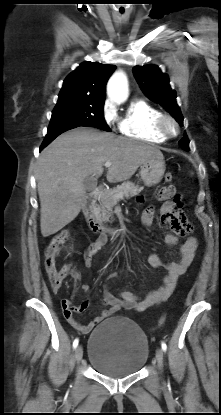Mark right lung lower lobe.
Segmentation results:
<instances>
[{"instance_id":"98d812e1","label":"right lung lower lobe","mask_w":221,"mask_h":415,"mask_svg":"<svg viewBox=\"0 0 221 415\" xmlns=\"http://www.w3.org/2000/svg\"><path fill=\"white\" fill-rule=\"evenodd\" d=\"M75 128L74 126L71 127H65V128H48L47 135L45 136V139L40 147V150H42L44 147H46L51 141H53L58 135L61 133Z\"/></svg>"}]
</instances>
